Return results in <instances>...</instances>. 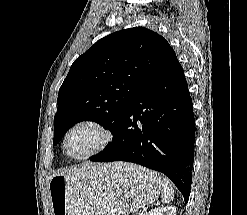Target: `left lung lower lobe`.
Instances as JSON below:
<instances>
[{
  "label": "left lung lower lobe",
  "instance_id": "1",
  "mask_svg": "<svg viewBox=\"0 0 247 215\" xmlns=\"http://www.w3.org/2000/svg\"><path fill=\"white\" fill-rule=\"evenodd\" d=\"M195 121L183 69L169 47L141 84L113 132L112 142L90 158L127 161L168 176L187 203L192 183Z\"/></svg>",
  "mask_w": 247,
  "mask_h": 215
}]
</instances>
